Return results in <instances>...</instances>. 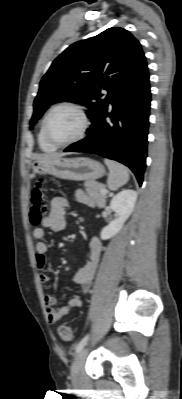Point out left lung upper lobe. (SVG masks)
I'll use <instances>...</instances> for the list:
<instances>
[{"label": "left lung upper lobe", "instance_id": "5c2ea615", "mask_svg": "<svg viewBox=\"0 0 182 399\" xmlns=\"http://www.w3.org/2000/svg\"><path fill=\"white\" fill-rule=\"evenodd\" d=\"M146 63L139 41L113 27L70 45L40 82L31 127L56 102L82 103L92 122L107 108L112 94ZM107 90L106 97L101 90Z\"/></svg>", "mask_w": 182, "mask_h": 399}]
</instances>
